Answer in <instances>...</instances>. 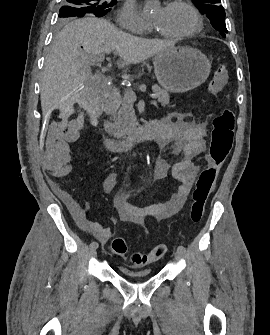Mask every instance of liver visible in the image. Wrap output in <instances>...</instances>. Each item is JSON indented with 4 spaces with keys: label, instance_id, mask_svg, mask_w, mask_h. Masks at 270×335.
Instances as JSON below:
<instances>
[{
    "label": "liver",
    "instance_id": "1",
    "mask_svg": "<svg viewBox=\"0 0 270 335\" xmlns=\"http://www.w3.org/2000/svg\"><path fill=\"white\" fill-rule=\"evenodd\" d=\"M170 48L173 44L165 40H146L121 32L104 18L91 16L69 22L57 34L45 60L40 84L43 116L91 78L88 54L117 52L125 64H139ZM125 64H118V68H124Z\"/></svg>",
    "mask_w": 270,
    "mask_h": 335
}]
</instances>
